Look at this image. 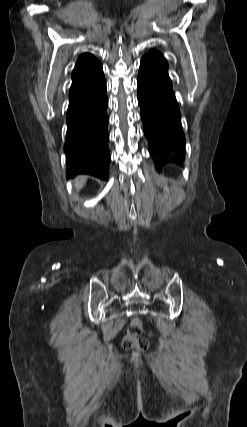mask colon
I'll return each mask as SVG.
<instances>
[{
  "instance_id": "5ec220e1",
  "label": "colon",
  "mask_w": 247,
  "mask_h": 427,
  "mask_svg": "<svg viewBox=\"0 0 247 427\" xmlns=\"http://www.w3.org/2000/svg\"><path fill=\"white\" fill-rule=\"evenodd\" d=\"M143 327L140 320H134L128 328V332L122 341V345L126 349L137 348L146 350L148 348V341L140 338Z\"/></svg>"
}]
</instances>
